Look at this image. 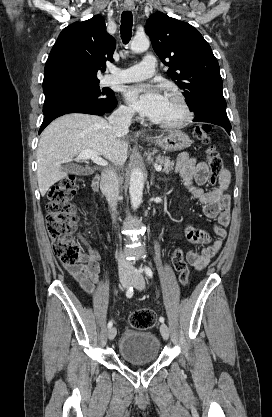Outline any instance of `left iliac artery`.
Returning a JSON list of instances; mask_svg holds the SVG:
<instances>
[{"mask_svg": "<svg viewBox=\"0 0 272 417\" xmlns=\"http://www.w3.org/2000/svg\"><path fill=\"white\" fill-rule=\"evenodd\" d=\"M144 271H145V273H146V275L148 276V277H150V278H152L153 277V272H152V270L148 267V266H145L144 267ZM164 317H160L159 318V321L161 322V323H163L164 322Z\"/></svg>", "mask_w": 272, "mask_h": 417, "instance_id": "1", "label": "left iliac artery"}]
</instances>
